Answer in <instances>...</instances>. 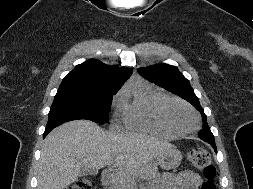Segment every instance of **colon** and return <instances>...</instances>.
Returning <instances> with one entry per match:
<instances>
[{
  "label": "colon",
  "instance_id": "5ec220e1",
  "mask_svg": "<svg viewBox=\"0 0 253 189\" xmlns=\"http://www.w3.org/2000/svg\"><path fill=\"white\" fill-rule=\"evenodd\" d=\"M188 160L194 168L203 172L205 181L203 182L201 189H216L214 181L216 177V169L211 162L209 153L202 148H196L189 152ZM67 189H92L91 179L88 177L80 178Z\"/></svg>",
  "mask_w": 253,
  "mask_h": 189
}]
</instances>
